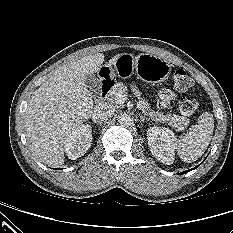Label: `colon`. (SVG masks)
<instances>
[{
  "mask_svg": "<svg viewBox=\"0 0 233 233\" xmlns=\"http://www.w3.org/2000/svg\"><path fill=\"white\" fill-rule=\"evenodd\" d=\"M173 81L175 88L180 92L189 90L193 85L192 78L182 69L174 73ZM179 110L184 116H192L198 110V102L194 98L183 96L179 101Z\"/></svg>",
  "mask_w": 233,
  "mask_h": 233,
  "instance_id": "1",
  "label": "colon"
}]
</instances>
